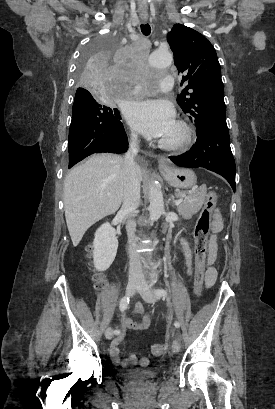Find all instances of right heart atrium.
Instances as JSON below:
<instances>
[{
  "label": "right heart atrium",
  "instance_id": "1",
  "mask_svg": "<svg viewBox=\"0 0 275 409\" xmlns=\"http://www.w3.org/2000/svg\"><path fill=\"white\" fill-rule=\"evenodd\" d=\"M130 135H131L132 138H136V137H137V132H136V130H135L134 128H131V129H130Z\"/></svg>",
  "mask_w": 275,
  "mask_h": 409
}]
</instances>
